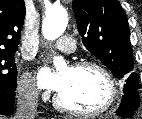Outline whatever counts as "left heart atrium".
Wrapping results in <instances>:
<instances>
[{
  "label": "left heart atrium",
  "mask_w": 142,
  "mask_h": 119,
  "mask_svg": "<svg viewBox=\"0 0 142 119\" xmlns=\"http://www.w3.org/2000/svg\"><path fill=\"white\" fill-rule=\"evenodd\" d=\"M38 81L41 87L59 92L64 86L65 77L62 73L54 74L49 69H43Z\"/></svg>",
  "instance_id": "1"
}]
</instances>
